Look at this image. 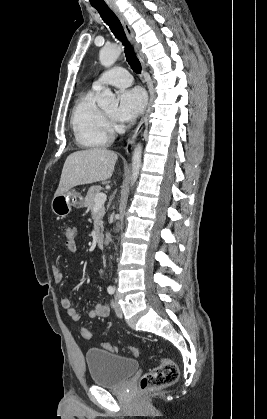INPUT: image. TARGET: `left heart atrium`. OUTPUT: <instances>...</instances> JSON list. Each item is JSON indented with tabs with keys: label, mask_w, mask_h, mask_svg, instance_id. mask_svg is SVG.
Segmentation results:
<instances>
[{
	"label": "left heart atrium",
	"mask_w": 267,
	"mask_h": 419,
	"mask_svg": "<svg viewBox=\"0 0 267 419\" xmlns=\"http://www.w3.org/2000/svg\"><path fill=\"white\" fill-rule=\"evenodd\" d=\"M146 97L142 90L133 88L124 90L119 95L117 118L122 122L135 120L143 111Z\"/></svg>",
	"instance_id": "left-heart-atrium-1"
}]
</instances>
